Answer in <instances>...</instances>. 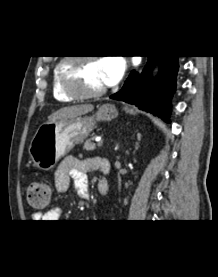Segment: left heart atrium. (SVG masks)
Here are the masks:
<instances>
[{
    "label": "left heart atrium",
    "instance_id": "1",
    "mask_svg": "<svg viewBox=\"0 0 218 277\" xmlns=\"http://www.w3.org/2000/svg\"><path fill=\"white\" fill-rule=\"evenodd\" d=\"M105 85L116 84L123 75L125 63L121 58L108 57L99 62Z\"/></svg>",
    "mask_w": 218,
    "mask_h": 277
}]
</instances>
